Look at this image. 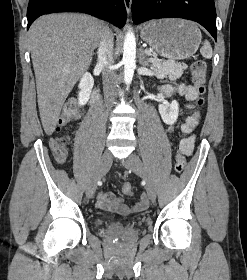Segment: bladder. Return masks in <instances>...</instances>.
I'll list each match as a JSON object with an SVG mask.
<instances>
[{"label": "bladder", "instance_id": "bladder-1", "mask_svg": "<svg viewBox=\"0 0 247 280\" xmlns=\"http://www.w3.org/2000/svg\"><path fill=\"white\" fill-rule=\"evenodd\" d=\"M111 221V218H108V217H103V218H99L96 220V224L98 226H103L105 225L107 222Z\"/></svg>", "mask_w": 247, "mask_h": 280}]
</instances>
